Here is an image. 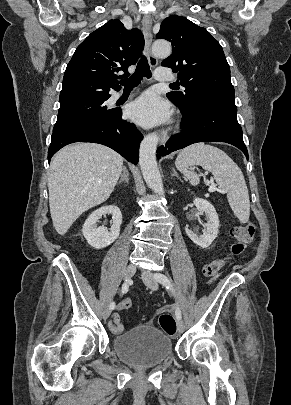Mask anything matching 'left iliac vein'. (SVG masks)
<instances>
[{"label":"left iliac vein","mask_w":291,"mask_h":405,"mask_svg":"<svg viewBox=\"0 0 291 405\" xmlns=\"http://www.w3.org/2000/svg\"><path fill=\"white\" fill-rule=\"evenodd\" d=\"M142 280L145 283V285L147 287H149L151 290H157L158 289V282L155 279L154 275L150 272V271H143L142 272ZM177 327H178V332L182 333L184 331V323L183 321L180 319L178 320L177 323Z\"/></svg>","instance_id":"obj_1"}]
</instances>
